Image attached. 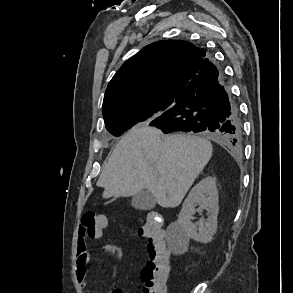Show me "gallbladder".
I'll use <instances>...</instances> for the list:
<instances>
[{"label":"gallbladder","mask_w":293,"mask_h":293,"mask_svg":"<svg viewBox=\"0 0 293 293\" xmlns=\"http://www.w3.org/2000/svg\"><path fill=\"white\" fill-rule=\"evenodd\" d=\"M131 205L138 210H151L156 206V198L148 191H141L132 197Z\"/></svg>","instance_id":"bac80fb5"}]
</instances>
